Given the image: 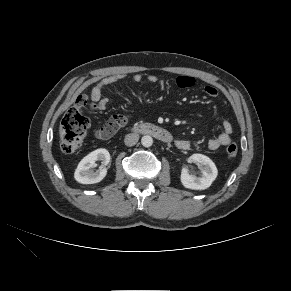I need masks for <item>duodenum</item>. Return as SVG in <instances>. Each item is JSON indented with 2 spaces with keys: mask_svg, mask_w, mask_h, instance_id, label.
<instances>
[{
  "mask_svg": "<svg viewBox=\"0 0 291 291\" xmlns=\"http://www.w3.org/2000/svg\"><path fill=\"white\" fill-rule=\"evenodd\" d=\"M134 131L145 135H151L165 143H170L172 141L170 132L158 125L150 123L140 124L134 128Z\"/></svg>",
  "mask_w": 291,
  "mask_h": 291,
  "instance_id": "obj_1",
  "label": "duodenum"
}]
</instances>
